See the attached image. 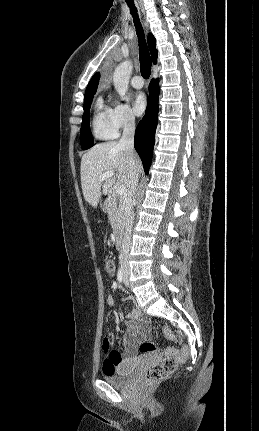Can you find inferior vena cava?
<instances>
[{
  "mask_svg": "<svg viewBox=\"0 0 259 431\" xmlns=\"http://www.w3.org/2000/svg\"><path fill=\"white\" fill-rule=\"evenodd\" d=\"M134 133H135V119L133 116H130L125 121L124 128H123V135L119 141V147L126 151L127 159L130 164L134 163ZM138 178H139V173L134 171L131 185H130V190H129L130 200L125 208V218H126L125 233L122 241L121 253L119 256L121 264H123V266L125 267L128 266V256H129V249L131 245V230L134 222L132 197L137 190Z\"/></svg>",
  "mask_w": 259,
  "mask_h": 431,
  "instance_id": "602c4592",
  "label": "inferior vena cava"
}]
</instances>
